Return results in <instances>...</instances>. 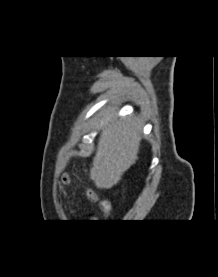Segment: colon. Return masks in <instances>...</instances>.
Returning <instances> with one entry per match:
<instances>
[{
    "label": "colon",
    "mask_w": 218,
    "mask_h": 277,
    "mask_svg": "<svg viewBox=\"0 0 218 277\" xmlns=\"http://www.w3.org/2000/svg\"><path fill=\"white\" fill-rule=\"evenodd\" d=\"M69 181H70V178H69L68 176H64V177L62 178V183H63V184H66V183H68ZM89 195H90L92 198L94 197L92 193H89ZM99 204H100L101 209L103 210V212L109 213L111 206H110V203H109L108 201H100Z\"/></svg>",
    "instance_id": "colon-1"
}]
</instances>
